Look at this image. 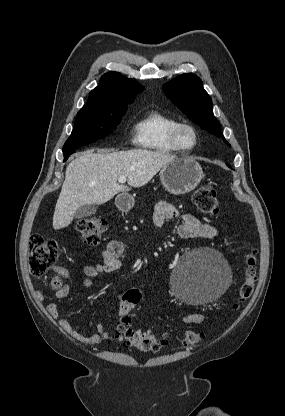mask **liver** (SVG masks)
I'll return each instance as SVG.
<instances>
[{
  "mask_svg": "<svg viewBox=\"0 0 285 416\" xmlns=\"http://www.w3.org/2000/svg\"><path fill=\"white\" fill-rule=\"evenodd\" d=\"M88 150L68 164L65 182L55 206L54 230L67 228L73 216L85 204H106L119 192L146 186L157 172L177 156L164 150H128L112 152ZM119 176H127L128 186L117 184Z\"/></svg>",
  "mask_w": 285,
  "mask_h": 416,
  "instance_id": "6515ba94",
  "label": "liver"
}]
</instances>
